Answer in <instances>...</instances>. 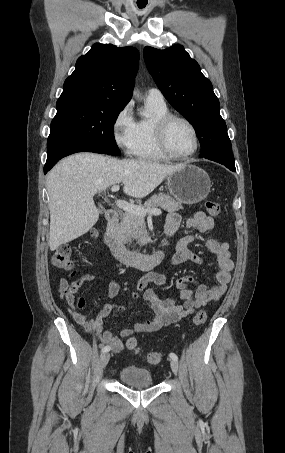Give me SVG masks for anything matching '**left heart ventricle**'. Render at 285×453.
I'll list each match as a JSON object with an SVG mask.
<instances>
[{
    "label": "left heart ventricle",
    "mask_w": 285,
    "mask_h": 453,
    "mask_svg": "<svg viewBox=\"0 0 285 453\" xmlns=\"http://www.w3.org/2000/svg\"><path fill=\"white\" fill-rule=\"evenodd\" d=\"M168 144L170 149L178 155L190 153L195 146L191 129L183 122H173L168 130Z\"/></svg>",
    "instance_id": "1"
}]
</instances>
